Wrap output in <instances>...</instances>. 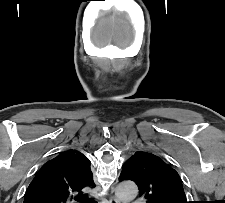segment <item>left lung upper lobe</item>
Instances as JSON below:
<instances>
[{
    "instance_id": "5c2ea615",
    "label": "left lung upper lobe",
    "mask_w": 225,
    "mask_h": 203,
    "mask_svg": "<svg viewBox=\"0 0 225 203\" xmlns=\"http://www.w3.org/2000/svg\"><path fill=\"white\" fill-rule=\"evenodd\" d=\"M119 180L134 181L146 203H188L178 173L154 154L136 152L123 164Z\"/></svg>"
}]
</instances>
